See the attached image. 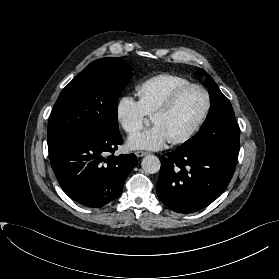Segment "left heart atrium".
I'll return each instance as SVG.
<instances>
[{"instance_id":"left-heart-atrium-1","label":"left heart atrium","mask_w":279,"mask_h":279,"mask_svg":"<svg viewBox=\"0 0 279 279\" xmlns=\"http://www.w3.org/2000/svg\"><path fill=\"white\" fill-rule=\"evenodd\" d=\"M169 138L164 130L154 125L149 130L137 133L128 139V147L133 150H160L166 146Z\"/></svg>"}]
</instances>
